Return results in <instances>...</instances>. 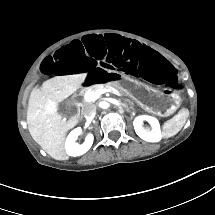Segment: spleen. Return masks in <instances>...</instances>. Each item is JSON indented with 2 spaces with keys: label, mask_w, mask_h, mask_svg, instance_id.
Masks as SVG:
<instances>
[{
  "label": "spleen",
  "mask_w": 215,
  "mask_h": 215,
  "mask_svg": "<svg viewBox=\"0 0 215 215\" xmlns=\"http://www.w3.org/2000/svg\"><path fill=\"white\" fill-rule=\"evenodd\" d=\"M183 112L180 111L176 116L164 123L162 131L164 138H170L181 130L186 121V118L182 116Z\"/></svg>",
  "instance_id": "3e777b00"
}]
</instances>
